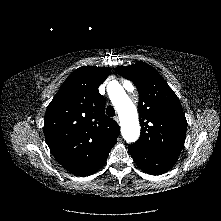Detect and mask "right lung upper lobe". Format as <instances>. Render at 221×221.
Returning <instances> with one entry per match:
<instances>
[{"label":"right lung upper lobe","mask_w":221,"mask_h":221,"mask_svg":"<svg viewBox=\"0 0 221 221\" xmlns=\"http://www.w3.org/2000/svg\"><path fill=\"white\" fill-rule=\"evenodd\" d=\"M109 73L110 67L76 69L47 107L46 142L56 160L70 172L94 165L116 143L120 127L105 115V99L98 91Z\"/></svg>","instance_id":"obj_1"}]
</instances>
